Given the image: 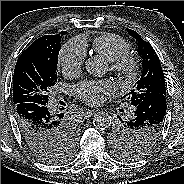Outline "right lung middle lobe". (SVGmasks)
I'll list each match as a JSON object with an SVG mask.
<instances>
[{
	"instance_id": "right-lung-middle-lobe-1",
	"label": "right lung middle lobe",
	"mask_w": 184,
	"mask_h": 184,
	"mask_svg": "<svg viewBox=\"0 0 184 184\" xmlns=\"http://www.w3.org/2000/svg\"><path fill=\"white\" fill-rule=\"evenodd\" d=\"M61 36H55L45 49H26L18 58L13 76L14 105L23 102L46 104L49 90L57 82L58 54L61 49ZM75 149V129L67 126L60 139L50 149L34 152L46 163H61L70 158Z\"/></svg>"
}]
</instances>
